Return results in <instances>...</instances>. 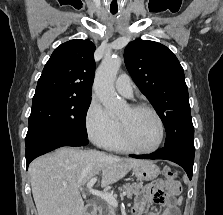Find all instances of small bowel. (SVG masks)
I'll use <instances>...</instances> for the list:
<instances>
[{
    "instance_id": "c3829d8e",
    "label": "small bowel",
    "mask_w": 223,
    "mask_h": 215,
    "mask_svg": "<svg viewBox=\"0 0 223 215\" xmlns=\"http://www.w3.org/2000/svg\"><path fill=\"white\" fill-rule=\"evenodd\" d=\"M180 193L181 184L176 180L159 179L153 181L136 197L135 205L132 209L133 215H143L145 206L150 202L165 206L161 215H178L177 206L180 199L177 196Z\"/></svg>"
}]
</instances>
